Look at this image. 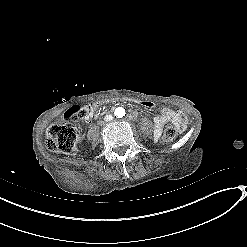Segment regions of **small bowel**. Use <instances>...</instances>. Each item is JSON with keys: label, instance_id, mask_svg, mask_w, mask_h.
<instances>
[{"label": "small bowel", "instance_id": "1", "mask_svg": "<svg viewBox=\"0 0 247 247\" xmlns=\"http://www.w3.org/2000/svg\"><path fill=\"white\" fill-rule=\"evenodd\" d=\"M90 118L91 116L87 118V120ZM168 123H172L182 129L184 127V117L182 113L167 108L162 109L161 114L154 118L155 135L159 137L163 128Z\"/></svg>", "mask_w": 247, "mask_h": 247}]
</instances>
